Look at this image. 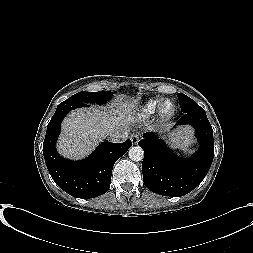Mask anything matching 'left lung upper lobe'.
Here are the masks:
<instances>
[{"instance_id": "obj_1", "label": "left lung upper lobe", "mask_w": 253, "mask_h": 253, "mask_svg": "<svg viewBox=\"0 0 253 253\" xmlns=\"http://www.w3.org/2000/svg\"><path fill=\"white\" fill-rule=\"evenodd\" d=\"M178 99L180 101L181 111L183 113L202 111L203 109L195 103L191 98L186 96L185 94L178 93Z\"/></svg>"}]
</instances>
